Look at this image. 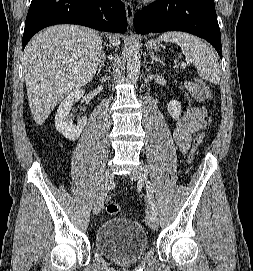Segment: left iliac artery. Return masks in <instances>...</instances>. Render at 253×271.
Listing matches in <instances>:
<instances>
[{
    "instance_id": "obj_1",
    "label": "left iliac artery",
    "mask_w": 253,
    "mask_h": 271,
    "mask_svg": "<svg viewBox=\"0 0 253 271\" xmlns=\"http://www.w3.org/2000/svg\"><path fill=\"white\" fill-rule=\"evenodd\" d=\"M146 190H147L148 201H149V204L151 205L152 211L157 215L158 214L157 206H156V202L154 200V195H153L154 191L149 181L147 183Z\"/></svg>"
}]
</instances>
